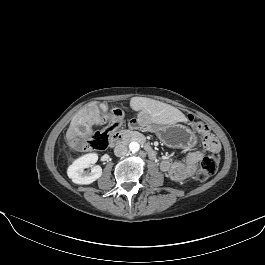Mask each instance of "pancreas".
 Here are the masks:
<instances>
[{"mask_svg":"<svg viewBox=\"0 0 265 265\" xmlns=\"http://www.w3.org/2000/svg\"><path fill=\"white\" fill-rule=\"evenodd\" d=\"M133 137H138V135L136 133H132Z\"/></svg>","mask_w":265,"mask_h":265,"instance_id":"cf45deb5","label":"pancreas"}]
</instances>
